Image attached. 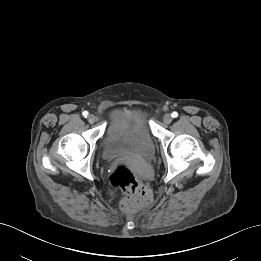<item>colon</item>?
Masks as SVG:
<instances>
[{
    "instance_id": "1",
    "label": "colon",
    "mask_w": 261,
    "mask_h": 261,
    "mask_svg": "<svg viewBox=\"0 0 261 261\" xmlns=\"http://www.w3.org/2000/svg\"><path fill=\"white\" fill-rule=\"evenodd\" d=\"M110 182L123 193L121 207L124 210L140 209L151 201L150 189L127 165H118L110 176Z\"/></svg>"
}]
</instances>
